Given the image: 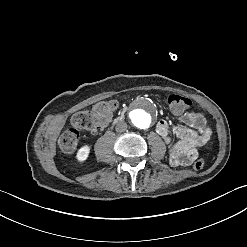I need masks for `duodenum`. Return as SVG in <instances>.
Listing matches in <instances>:
<instances>
[{
	"label": "duodenum",
	"mask_w": 247,
	"mask_h": 247,
	"mask_svg": "<svg viewBox=\"0 0 247 247\" xmlns=\"http://www.w3.org/2000/svg\"><path fill=\"white\" fill-rule=\"evenodd\" d=\"M124 115H125V112H124V111L121 112V113L116 117L115 122L121 121L122 118L124 117Z\"/></svg>",
	"instance_id": "1"
}]
</instances>
